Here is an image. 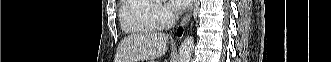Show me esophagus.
I'll return each mask as SVG.
<instances>
[{
    "label": "esophagus",
    "mask_w": 331,
    "mask_h": 62,
    "mask_svg": "<svg viewBox=\"0 0 331 62\" xmlns=\"http://www.w3.org/2000/svg\"><path fill=\"white\" fill-rule=\"evenodd\" d=\"M195 2L196 0H192V3H191V6L189 7L186 15L184 16L181 24L184 26L186 23L189 22V20L191 19L192 17V14H193V10H194V5H195Z\"/></svg>",
    "instance_id": "esophagus-1"
}]
</instances>
